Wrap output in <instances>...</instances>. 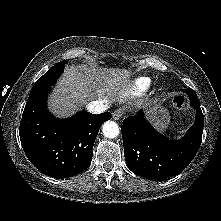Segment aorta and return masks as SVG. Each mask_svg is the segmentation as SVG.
I'll return each mask as SVG.
<instances>
[{
    "label": "aorta",
    "mask_w": 221,
    "mask_h": 221,
    "mask_svg": "<svg viewBox=\"0 0 221 221\" xmlns=\"http://www.w3.org/2000/svg\"><path fill=\"white\" fill-rule=\"evenodd\" d=\"M102 132L107 138H115L119 135V127L118 124L114 121H106L103 124Z\"/></svg>",
    "instance_id": "1"
}]
</instances>
